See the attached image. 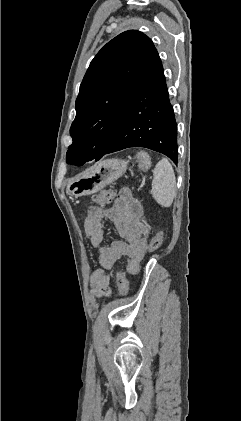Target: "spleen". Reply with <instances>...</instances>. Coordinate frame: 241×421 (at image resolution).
<instances>
[{
	"mask_svg": "<svg viewBox=\"0 0 241 421\" xmlns=\"http://www.w3.org/2000/svg\"><path fill=\"white\" fill-rule=\"evenodd\" d=\"M152 196L158 204L170 207L176 196V178L170 162L162 158L153 170Z\"/></svg>",
	"mask_w": 241,
	"mask_h": 421,
	"instance_id": "spleen-1",
	"label": "spleen"
}]
</instances>
